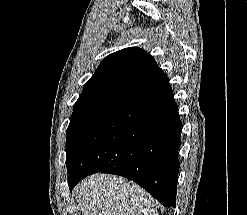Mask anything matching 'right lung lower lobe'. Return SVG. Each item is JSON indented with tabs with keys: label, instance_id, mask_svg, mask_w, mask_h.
I'll return each instance as SVG.
<instances>
[{
	"label": "right lung lower lobe",
	"instance_id": "98d812e1",
	"mask_svg": "<svg viewBox=\"0 0 247 215\" xmlns=\"http://www.w3.org/2000/svg\"><path fill=\"white\" fill-rule=\"evenodd\" d=\"M181 125L168 78L155 68L83 136L68 172L70 191L87 175L112 173L175 207Z\"/></svg>",
	"mask_w": 247,
	"mask_h": 215
}]
</instances>
